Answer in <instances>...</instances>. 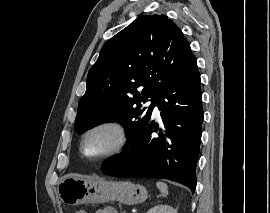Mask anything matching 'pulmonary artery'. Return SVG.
Segmentation results:
<instances>
[{
    "label": "pulmonary artery",
    "mask_w": 270,
    "mask_h": 213,
    "mask_svg": "<svg viewBox=\"0 0 270 213\" xmlns=\"http://www.w3.org/2000/svg\"><path fill=\"white\" fill-rule=\"evenodd\" d=\"M151 102L152 101H149L147 104H151ZM154 115L157 116V117L159 116V110H158L157 106L154 107Z\"/></svg>",
    "instance_id": "e3ab8cb5"
}]
</instances>
